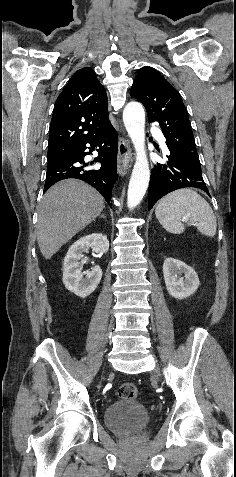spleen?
<instances>
[{
    "instance_id": "3e777b00",
    "label": "spleen",
    "mask_w": 236,
    "mask_h": 477,
    "mask_svg": "<svg viewBox=\"0 0 236 477\" xmlns=\"http://www.w3.org/2000/svg\"><path fill=\"white\" fill-rule=\"evenodd\" d=\"M155 215L163 228L173 234H180L185 226L196 225L205 236L213 237L216 234L217 222L208 202L197 192L191 189L176 190L162 198Z\"/></svg>"
}]
</instances>
